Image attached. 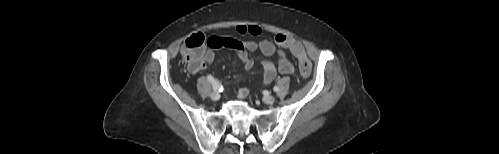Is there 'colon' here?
<instances>
[{"label":"colon","mask_w":499,"mask_h":154,"mask_svg":"<svg viewBox=\"0 0 499 154\" xmlns=\"http://www.w3.org/2000/svg\"><path fill=\"white\" fill-rule=\"evenodd\" d=\"M275 42L289 50L297 58L300 74L303 77H308L311 73L312 65L302 44L287 34H277ZM206 45H208V41H206L202 33H194L184 41L181 58L187 63L188 67H198L203 62Z\"/></svg>","instance_id":"obj_1"}]
</instances>
